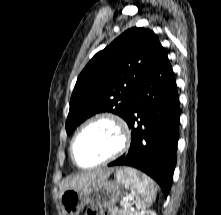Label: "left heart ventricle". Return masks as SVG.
Listing matches in <instances>:
<instances>
[{"instance_id": "left-heart-ventricle-1", "label": "left heart ventricle", "mask_w": 221, "mask_h": 215, "mask_svg": "<svg viewBox=\"0 0 221 215\" xmlns=\"http://www.w3.org/2000/svg\"><path fill=\"white\" fill-rule=\"evenodd\" d=\"M119 142V133L112 124L95 123L77 138L74 146L76 159L84 166L95 164L114 152Z\"/></svg>"}]
</instances>
